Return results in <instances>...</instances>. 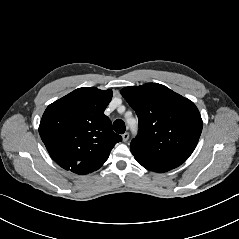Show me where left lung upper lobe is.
Returning <instances> with one entry per match:
<instances>
[{
	"instance_id": "obj_1",
	"label": "left lung upper lobe",
	"mask_w": 239,
	"mask_h": 239,
	"mask_svg": "<svg viewBox=\"0 0 239 239\" xmlns=\"http://www.w3.org/2000/svg\"><path fill=\"white\" fill-rule=\"evenodd\" d=\"M121 94L139 120L138 135L130 145L137 162L154 172H166L184 163L203 127L195 104L157 83L125 87Z\"/></svg>"
}]
</instances>
